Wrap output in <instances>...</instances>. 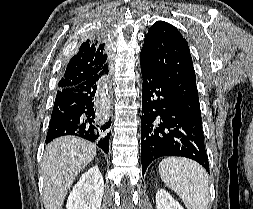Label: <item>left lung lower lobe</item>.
<instances>
[{
	"instance_id": "1",
	"label": "left lung lower lobe",
	"mask_w": 253,
	"mask_h": 209,
	"mask_svg": "<svg viewBox=\"0 0 253 209\" xmlns=\"http://www.w3.org/2000/svg\"><path fill=\"white\" fill-rule=\"evenodd\" d=\"M143 77L141 161L144 175L149 164L162 156H181L200 163L209 172L202 125L178 104L169 86L141 65Z\"/></svg>"
}]
</instances>
